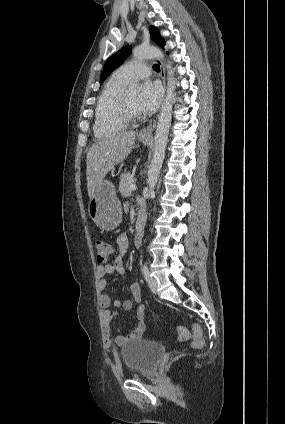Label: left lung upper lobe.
Segmentation results:
<instances>
[{"mask_svg": "<svg viewBox=\"0 0 285 424\" xmlns=\"http://www.w3.org/2000/svg\"><path fill=\"white\" fill-rule=\"evenodd\" d=\"M150 33L152 39L161 47H164L165 41L160 36L159 31L154 27H150ZM131 53V46L127 45L117 51L115 54H113L106 62L104 69L102 71L101 77H100V84L103 83V81L108 77V75L117 67H119L124 60L130 55Z\"/></svg>", "mask_w": 285, "mask_h": 424, "instance_id": "obj_1", "label": "left lung upper lobe"}]
</instances>
